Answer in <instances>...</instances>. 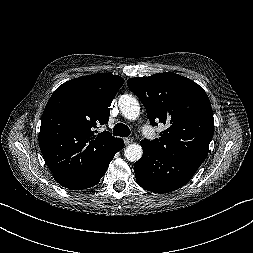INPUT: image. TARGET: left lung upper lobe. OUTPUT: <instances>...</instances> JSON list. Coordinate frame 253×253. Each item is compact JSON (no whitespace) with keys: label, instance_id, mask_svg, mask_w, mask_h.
I'll use <instances>...</instances> for the list:
<instances>
[{"label":"left lung upper lobe","instance_id":"1","mask_svg":"<svg viewBox=\"0 0 253 253\" xmlns=\"http://www.w3.org/2000/svg\"><path fill=\"white\" fill-rule=\"evenodd\" d=\"M130 90L144 104L153 126L168 128L160 138L144 139L169 163L189 159L204 162L214 133V119L206 92L194 81L175 73H157L127 80Z\"/></svg>","mask_w":253,"mask_h":253}]
</instances>
